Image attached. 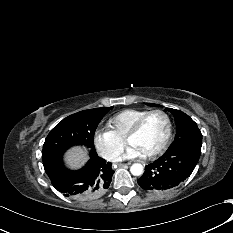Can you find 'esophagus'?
I'll return each mask as SVG.
<instances>
[{
  "mask_svg": "<svg viewBox=\"0 0 233 233\" xmlns=\"http://www.w3.org/2000/svg\"><path fill=\"white\" fill-rule=\"evenodd\" d=\"M126 164H124V163H118V166L119 167H123V166H125Z\"/></svg>",
  "mask_w": 233,
  "mask_h": 233,
  "instance_id": "obj_1",
  "label": "esophagus"
}]
</instances>
